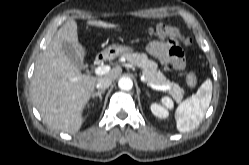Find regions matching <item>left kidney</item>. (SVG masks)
I'll use <instances>...</instances> for the list:
<instances>
[{"mask_svg": "<svg viewBox=\"0 0 249 165\" xmlns=\"http://www.w3.org/2000/svg\"><path fill=\"white\" fill-rule=\"evenodd\" d=\"M150 108H151L152 113L158 118L164 119V118H167L169 115L168 111L165 108H163L162 106L156 103H153Z\"/></svg>", "mask_w": 249, "mask_h": 165, "instance_id": "1", "label": "left kidney"}]
</instances>
